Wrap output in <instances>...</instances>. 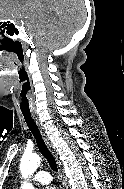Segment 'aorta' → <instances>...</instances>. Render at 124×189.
Here are the masks:
<instances>
[{"label": "aorta", "mask_w": 124, "mask_h": 189, "mask_svg": "<svg viewBox=\"0 0 124 189\" xmlns=\"http://www.w3.org/2000/svg\"><path fill=\"white\" fill-rule=\"evenodd\" d=\"M41 158L37 154H24L20 162V172L23 178H28L32 175L40 165ZM22 189H34L33 185L24 182L21 186Z\"/></svg>", "instance_id": "1"}]
</instances>
